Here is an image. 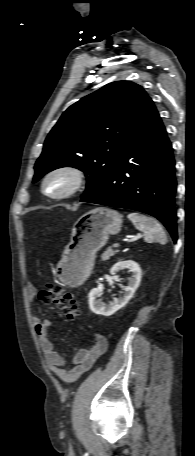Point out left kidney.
Returning <instances> with one entry per match:
<instances>
[{"label": "left kidney", "mask_w": 195, "mask_h": 456, "mask_svg": "<svg viewBox=\"0 0 195 456\" xmlns=\"http://www.w3.org/2000/svg\"><path fill=\"white\" fill-rule=\"evenodd\" d=\"M127 268L132 272L129 278V283L124 287V295L120 298H114L109 304H104L98 297L101 295L99 288H94L89 293V307L91 311L98 315L111 316L119 309L123 308L133 297L135 291L140 285L142 272L140 266L135 261H120L116 263L110 270L112 275H115L119 270Z\"/></svg>", "instance_id": "obj_1"}]
</instances>
